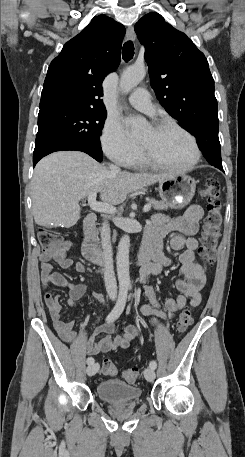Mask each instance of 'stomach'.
Listing matches in <instances>:
<instances>
[{
    "label": "stomach",
    "instance_id": "obj_1",
    "mask_svg": "<svg viewBox=\"0 0 245 457\" xmlns=\"http://www.w3.org/2000/svg\"><path fill=\"white\" fill-rule=\"evenodd\" d=\"M196 190V182L187 174H169L159 182V194L164 202L182 208L190 202Z\"/></svg>",
    "mask_w": 245,
    "mask_h": 457
}]
</instances>
